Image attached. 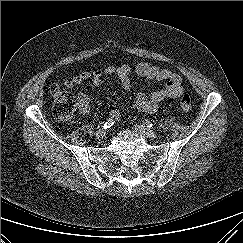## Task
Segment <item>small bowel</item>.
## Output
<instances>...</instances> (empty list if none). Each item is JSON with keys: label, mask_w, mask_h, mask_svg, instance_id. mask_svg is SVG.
<instances>
[{"label": "small bowel", "mask_w": 243, "mask_h": 243, "mask_svg": "<svg viewBox=\"0 0 243 243\" xmlns=\"http://www.w3.org/2000/svg\"><path fill=\"white\" fill-rule=\"evenodd\" d=\"M135 74L142 78L157 81H165L166 85L163 89L152 93L140 92L136 95L134 108L146 113L154 112L158 105L167 100H174L180 97L184 92V79L177 71L164 69L151 62L139 63L135 70ZM104 75H116L125 90L131 89L132 69L128 64L107 65L103 68L93 70L91 72L83 71L67 81L69 88L80 86L82 83L89 81L93 85H99ZM79 111L81 113L88 112V98L78 95ZM110 117L118 115L116 110L110 111Z\"/></svg>", "instance_id": "c3829d8e"}]
</instances>
